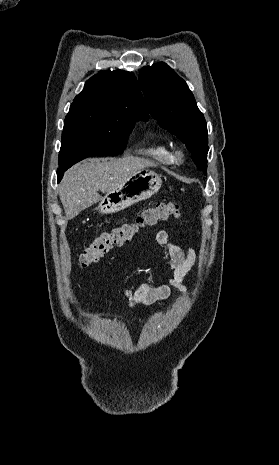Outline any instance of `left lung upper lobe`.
Returning <instances> with one entry per match:
<instances>
[{
    "mask_svg": "<svg viewBox=\"0 0 279 465\" xmlns=\"http://www.w3.org/2000/svg\"><path fill=\"white\" fill-rule=\"evenodd\" d=\"M139 80L151 115L185 143L206 174L207 124L186 82L165 63L143 67Z\"/></svg>",
    "mask_w": 279,
    "mask_h": 465,
    "instance_id": "1",
    "label": "left lung upper lobe"
}]
</instances>
